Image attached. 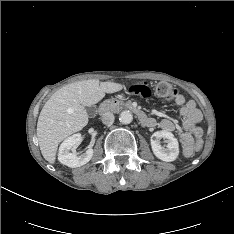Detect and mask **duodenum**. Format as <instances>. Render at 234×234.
I'll return each instance as SVG.
<instances>
[{
  "mask_svg": "<svg viewBox=\"0 0 234 234\" xmlns=\"http://www.w3.org/2000/svg\"><path fill=\"white\" fill-rule=\"evenodd\" d=\"M116 104L114 102L111 103H105L101 106L100 108V112L102 114L108 112L109 110H111ZM126 106L133 111L138 120L143 124V125H147L150 121V118L143 112L141 111L138 107H136L135 105L132 104H126Z\"/></svg>",
  "mask_w": 234,
  "mask_h": 234,
  "instance_id": "duodenum-1",
  "label": "duodenum"
}]
</instances>
